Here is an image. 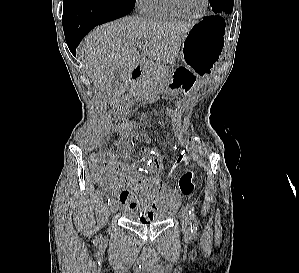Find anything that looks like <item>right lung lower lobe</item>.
I'll use <instances>...</instances> for the list:
<instances>
[{
    "label": "right lung lower lobe",
    "instance_id": "98d812e1",
    "mask_svg": "<svg viewBox=\"0 0 299 273\" xmlns=\"http://www.w3.org/2000/svg\"><path fill=\"white\" fill-rule=\"evenodd\" d=\"M136 0H63V29L67 45L76 56V47L95 26L130 13Z\"/></svg>",
    "mask_w": 299,
    "mask_h": 273
}]
</instances>
